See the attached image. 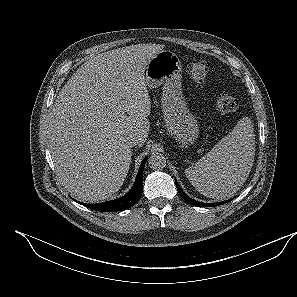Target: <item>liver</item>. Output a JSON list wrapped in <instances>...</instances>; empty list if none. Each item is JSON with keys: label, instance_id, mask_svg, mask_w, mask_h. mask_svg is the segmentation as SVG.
<instances>
[{"label": "liver", "instance_id": "6515ba94", "mask_svg": "<svg viewBox=\"0 0 297 297\" xmlns=\"http://www.w3.org/2000/svg\"><path fill=\"white\" fill-rule=\"evenodd\" d=\"M160 44H138L86 61L60 90L49 117V147L60 182L75 198L95 203L123 185L132 152L150 130L151 102L145 81Z\"/></svg>", "mask_w": 297, "mask_h": 297}]
</instances>
